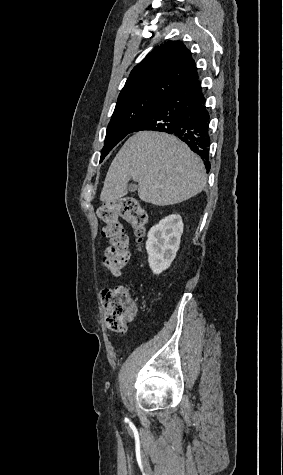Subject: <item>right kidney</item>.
Returning <instances> with one entry per match:
<instances>
[{
	"label": "right kidney",
	"mask_w": 283,
	"mask_h": 475,
	"mask_svg": "<svg viewBox=\"0 0 283 475\" xmlns=\"http://www.w3.org/2000/svg\"><path fill=\"white\" fill-rule=\"evenodd\" d=\"M183 226L181 216L171 214L150 228L146 249L153 273H162L164 269L170 267L179 249Z\"/></svg>",
	"instance_id": "obj_1"
}]
</instances>
